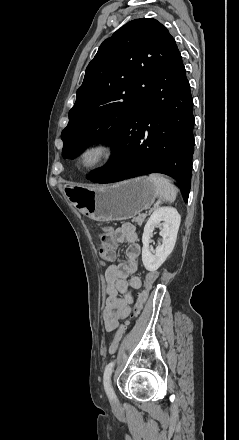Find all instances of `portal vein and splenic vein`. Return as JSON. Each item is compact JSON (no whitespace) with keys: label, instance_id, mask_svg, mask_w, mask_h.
Returning a JSON list of instances; mask_svg holds the SVG:
<instances>
[{"label":"portal vein and splenic vein","instance_id":"obj_1","mask_svg":"<svg viewBox=\"0 0 239 440\" xmlns=\"http://www.w3.org/2000/svg\"><path fill=\"white\" fill-rule=\"evenodd\" d=\"M161 201H162L161 199H157V201H155V204L150 210L153 211L154 209L158 208L160 206Z\"/></svg>","mask_w":239,"mask_h":440}]
</instances>
